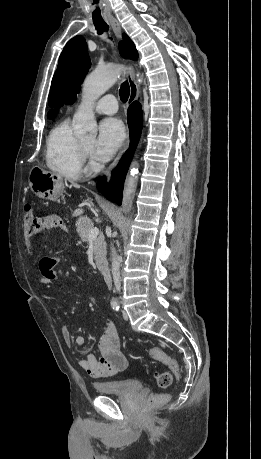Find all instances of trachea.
Here are the masks:
<instances>
[{
    "label": "trachea",
    "instance_id": "trachea-1",
    "mask_svg": "<svg viewBox=\"0 0 261 459\" xmlns=\"http://www.w3.org/2000/svg\"><path fill=\"white\" fill-rule=\"evenodd\" d=\"M93 23H94V26L98 34H102L104 31H108L109 29V26L103 20H94ZM129 94H130V87H129L128 82L125 81L121 84V87L119 90L120 99L123 103H125L128 100Z\"/></svg>",
    "mask_w": 261,
    "mask_h": 459
}]
</instances>
